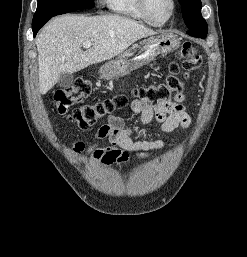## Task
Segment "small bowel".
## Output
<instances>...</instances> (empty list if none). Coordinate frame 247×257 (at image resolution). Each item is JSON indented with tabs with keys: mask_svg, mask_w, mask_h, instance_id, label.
I'll return each instance as SVG.
<instances>
[{
	"mask_svg": "<svg viewBox=\"0 0 247 257\" xmlns=\"http://www.w3.org/2000/svg\"><path fill=\"white\" fill-rule=\"evenodd\" d=\"M183 101L184 95L178 93L173 100L155 106L134 100L131 107L133 112L139 115L142 125H148L155 120L160 124L162 131L171 133L179 127L185 128L190 124V117L182 104ZM132 133V129L124 125L121 117L110 115L107 123L100 126L96 132V138L108 139L110 146L102 147L99 142H94L86 147L80 141L74 144L72 150L85 157L91 156L94 163L103 166H121L128 162L130 153H135L138 158H145L169 144L163 140L134 141Z\"/></svg>",
	"mask_w": 247,
	"mask_h": 257,
	"instance_id": "1",
	"label": "small bowel"
}]
</instances>
